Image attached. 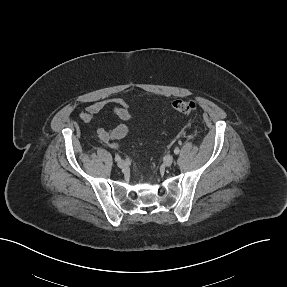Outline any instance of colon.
I'll list each match as a JSON object with an SVG mask.
<instances>
[{
	"instance_id": "obj_1",
	"label": "colon",
	"mask_w": 287,
	"mask_h": 287,
	"mask_svg": "<svg viewBox=\"0 0 287 287\" xmlns=\"http://www.w3.org/2000/svg\"><path fill=\"white\" fill-rule=\"evenodd\" d=\"M172 105L175 111L183 115H190L198 111V105L193 100L179 99L175 100Z\"/></svg>"
}]
</instances>
